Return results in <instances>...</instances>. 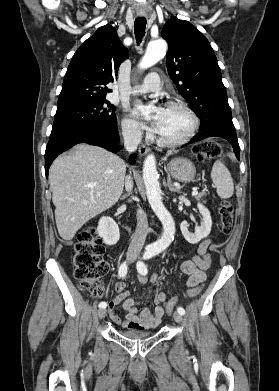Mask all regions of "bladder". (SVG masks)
Here are the masks:
<instances>
[{
  "mask_svg": "<svg viewBox=\"0 0 279 391\" xmlns=\"http://www.w3.org/2000/svg\"><path fill=\"white\" fill-rule=\"evenodd\" d=\"M119 334L127 339L131 340H142L151 336V332H138L133 330H121Z\"/></svg>",
  "mask_w": 279,
  "mask_h": 391,
  "instance_id": "obj_1",
  "label": "bladder"
}]
</instances>
